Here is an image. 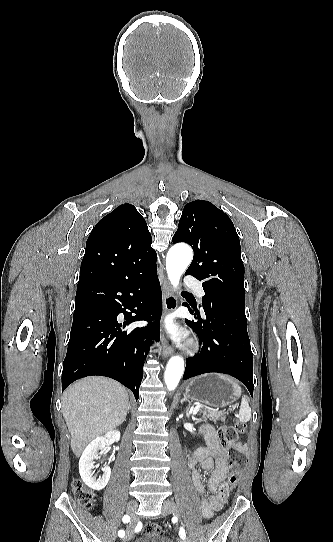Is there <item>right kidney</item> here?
I'll use <instances>...</instances> for the list:
<instances>
[{
    "mask_svg": "<svg viewBox=\"0 0 333 542\" xmlns=\"http://www.w3.org/2000/svg\"><path fill=\"white\" fill-rule=\"evenodd\" d=\"M119 440L120 432H118V430H113V432H107V434L101 436V438H95V440H92V442L86 446L79 460V474L81 480H83L84 484H86L88 488H91V490H98V492L99 490H103V488L107 486L111 476V468L105 464L104 468H102L103 476L97 480L92 474L93 468H97V466H94L95 462H93V460L100 458L98 454L99 450H105L107 444H113V442H119Z\"/></svg>",
    "mask_w": 333,
    "mask_h": 542,
    "instance_id": "obj_1",
    "label": "right kidney"
}]
</instances>
